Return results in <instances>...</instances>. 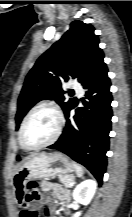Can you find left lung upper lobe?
<instances>
[{
    "instance_id": "1",
    "label": "left lung upper lobe",
    "mask_w": 132,
    "mask_h": 217,
    "mask_svg": "<svg viewBox=\"0 0 132 217\" xmlns=\"http://www.w3.org/2000/svg\"><path fill=\"white\" fill-rule=\"evenodd\" d=\"M94 28L82 21H73L70 29L35 63L26 76L18 98L16 128L28 110L43 99L55 100L64 114L73 100L65 102L62 82L77 78L83 84L103 63L104 54L98 46Z\"/></svg>"
}]
</instances>
